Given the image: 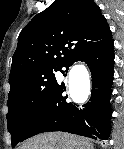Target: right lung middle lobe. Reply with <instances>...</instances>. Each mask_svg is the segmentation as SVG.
Returning <instances> with one entry per match:
<instances>
[{
    "label": "right lung middle lobe",
    "mask_w": 124,
    "mask_h": 149,
    "mask_svg": "<svg viewBox=\"0 0 124 149\" xmlns=\"http://www.w3.org/2000/svg\"><path fill=\"white\" fill-rule=\"evenodd\" d=\"M55 71L63 72L60 68L42 70L11 88L7 101V124L13 147L20 142L29 121L57 86Z\"/></svg>",
    "instance_id": "dd1d6c3e"
}]
</instances>
